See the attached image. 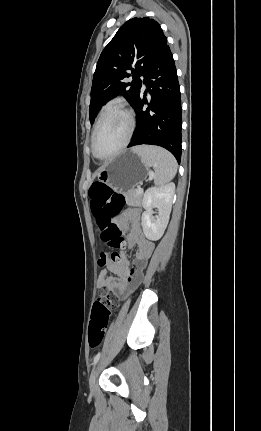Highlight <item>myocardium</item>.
Returning a JSON list of instances; mask_svg holds the SVG:
<instances>
[{"label": "myocardium", "mask_w": 261, "mask_h": 431, "mask_svg": "<svg viewBox=\"0 0 261 431\" xmlns=\"http://www.w3.org/2000/svg\"><path fill=\"white\" fill-rule=\"evenodd\" d=\"M111 111H120L126 116L127 121H128V132H127V135H126L123 143L118 147L117 150H115L112 154H110L108 156L101 157L96 153L95 139H96L98 129H99L104 117L106 116L107 113H109ZM134 130H135V118H134L133 112L129 108H127L121 104H113V105L106 107L101 112V114H100V116H99V118L95 124V127L93 129L92 136H91V149H92V153H93L94 157H96L99 160H108V159H111V158L115 157L116 155L120 154L130 143L131 138H132L133 133H134Z\"/></svg>", "instance_id": "f54148a6"}]
</instances>
